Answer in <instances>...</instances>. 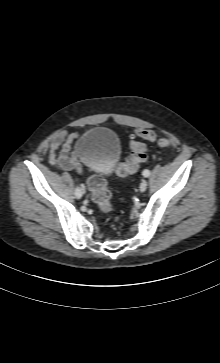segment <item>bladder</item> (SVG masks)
I'll return each mask as SVG.
<instances>
[{
  "label": "bladder",
  "mask_w": 220,
  "mask_h": 363,
  "mask_svg": "<svg viewBox=\"0 0 220 363\" xmlns=\"http://www.w3.org/2000/svg\"><path fill=\"white\" fill-rule=\"evenodd\" d=\"M79 159L90 169L107 172L121 156L117 135L111 129L94 127L80 135L75 144Z\"/></svg>",
  "instance_id": "obj_1"
}]
</instances>
